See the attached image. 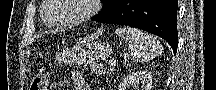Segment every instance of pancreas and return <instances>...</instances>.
<instances>
[{"label": "pancreas", "instance_id": "obj_1", "mask_svg": "<svg viewBox=\"0 0 216 90\" xmlns=\"http://www.w3.org/2000/svg\"><path fill=\"white\" fill-rule=\"evenodd\" d=\"M91 68L96 74H106L107 68H103L102 64H94Z\"/></svg>", "mask_w": 216, "mask_h": 90}]
</instances>
